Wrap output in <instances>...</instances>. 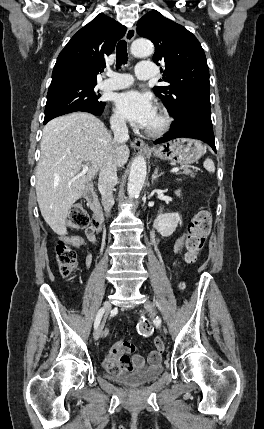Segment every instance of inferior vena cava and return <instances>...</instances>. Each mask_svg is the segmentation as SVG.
Listing matches in <instances>:
<instances>
[{"instance_id": "1", "label": "inferior vena cava", "mask_w": 264, "mask_h": 429, "mask_svg": "<svg viewBox=\"0 0 264 429\" xmlns=\"http://www.w3.org/2000/svg\"><path fill=\"white\" fill-rule=\"evenodd\" d=\"M111 129L114 133L113 143L119 145L129 139L126 121L122 117H116L111 120ZM117 164L108 158L99 170L98 187L102 196V204L106 213H110L114 205L113 188L117 183Z\"/></svg>"}]
</instances>
